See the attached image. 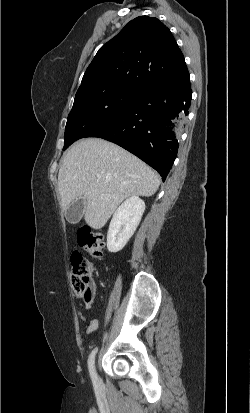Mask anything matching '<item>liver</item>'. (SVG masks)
<instances>
[{"label": "liver", "instance_id": "1", "mask_svg": "<svg viewBox=\"0 0 250 413\" xmlns=\"http://www.w3.org/2000/svg\"><path fill=\"white\" fill-rule=\"evenodd\" d=\"M159 184L157 173L147 164L100 138L75 143L58 174L62 210L84 198L85 222L93 229H101L124 199L152 196Z\"/></svg>", "mask_w": 250, "mask_h": 413}]
</instances>
